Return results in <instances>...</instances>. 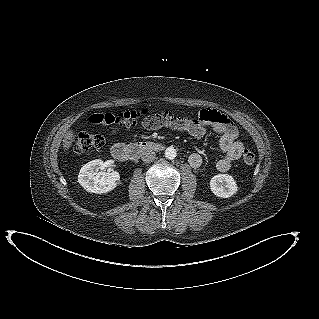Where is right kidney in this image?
Returning <instances> with one entry per match:
<instances>
[{
    "label": "right kidney",
    "mask_w": 319,
    "mask_h": 319,
    "mask_svg": "<svg viewBox=\"0 0 319 319\" xmlns=\"http://www.w3.org/2000/svg\"><path fill=\"white\" fill-rule=\"evenodd\" d=\"M106 164L103 160L95 159L85 164L79 172L78 182L90 193L103 194L116 188L120 175L116 171H102Z\"/></svg>",
    "instance_id": "ca27d5eb"
}]
</instances>
